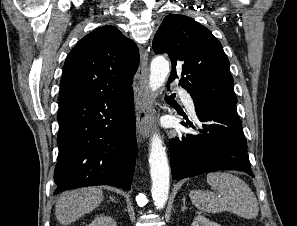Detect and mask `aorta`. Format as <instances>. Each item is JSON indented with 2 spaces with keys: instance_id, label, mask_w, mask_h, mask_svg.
<instances>
[{
  "instance_id": "aorta-1",
  "label": "aorta",
  "mask_w": 297,
  "mask_h": 226,
  "mask_svg": "<svg viewBox=\"0 0 297 226\" xmlns=\"http://www.w3.org/2000/svg\"><path fill=\"white\" fill-rule=\"evenodd\" d=\"M169 62L163 56H156L151 62L149 87L156 92L166 81L169 74ZM150 175L152 179V197L157 209H162L169 193V165L165 147L160 136L155 133L151 139L149 154Z\"/></svg>"
}]
</instances>
